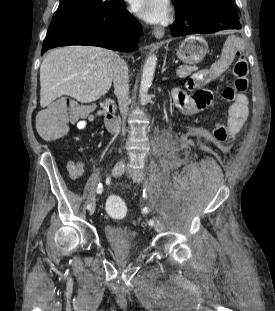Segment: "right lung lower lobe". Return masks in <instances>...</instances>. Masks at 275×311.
Returning <instances> with one entry per match:
<instances>
[{"label":"right lung lower lobe","instance_id":"right-lung-lower-lobe-1","mask_svg":"<svg viewBox=\"0 0 275 311\" xmlns=\"http://www.w3.org/2000/svg\"><path fill=\"white\" fill-rule=\"evenodd\" d=\"M141 24L125 9V2L115 8L88 16L52 24L44 39L42 53L65 45H92L118 51L137 49Z\"/></svg>","mask_w":275,"mask_h":311}]
</instances>
